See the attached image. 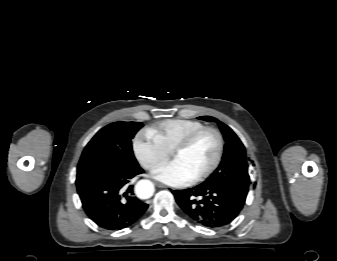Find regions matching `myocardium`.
Wrapping results in <instances>:
<instances>
[{
    "label": "myocardium",
    "instance_id": "1",
    "mask_svg": "<svg viewBox=\"0 0 337 261\" xmlns=\"http://www.w3.org/2000/svg\"><path fill=\"white\" fill-rule=\"evenodd\" d=\"M213 133L217 138L218 148L215 159L208 169L193 178V182H200L210 177L219 167L225 148V141L222 133L214 127L204 126L188 134L171 152L172 157L187 150L204 133Z\"/></svg>",
    "mask_w": 337,
    "mask_h": 261
}]
</instances>
